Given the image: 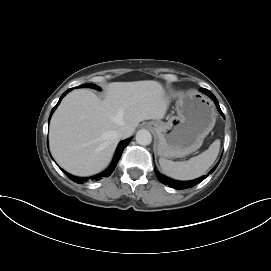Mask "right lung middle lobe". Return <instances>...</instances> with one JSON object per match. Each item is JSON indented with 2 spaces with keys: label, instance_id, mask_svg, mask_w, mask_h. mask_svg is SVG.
I'll return each instance as SVG.
<instances>
[{
  "label": "right lung middle lobe",
  "instance_id": "right-lung-middle-lobe-1",
  "mask_svg": "<svg viewBox=\"0 0 271 271\" xmlns=\"http://www.w3.org/2000/svg\"><path fill=\"white\" fill-rule=\"evenodd\" d=\"M79 87H89V88H93L96 90H100V88L94 84H84V85H80Z\"/></svg>",
  "mask_w": 271,
  "mask_h": 271
}]
</instances>
